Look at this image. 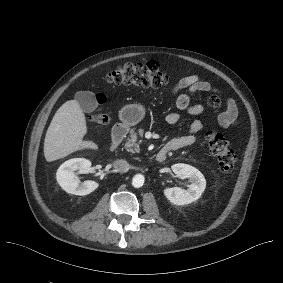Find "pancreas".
<instances>
[{
    "instance_id": "1",
    "label": "pancreas",
    "mask_w": 283,
    "mask_h": 283,
    "mask_svg": "<svg viewBox=\"0 0 283 283\" xmlns=\"http://www.w3.org/2000/svg\"><path fill=\"white\" fill-rule=\"evenodd\" d=\"M143 133L144 130L142 128H140L138 131H135V129L130 130V138L125 144V149L127 152L131 154L139 152V143H137V140L143 136Z\"/></svg>"
}]
</instances>
